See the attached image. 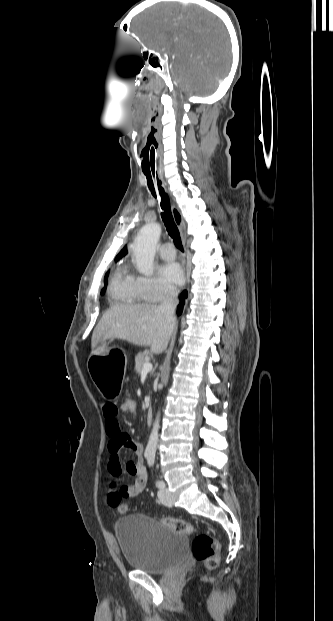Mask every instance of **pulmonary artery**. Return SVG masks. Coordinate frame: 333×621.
<instances>
[{"label": "pulmonary artery", "mask_w": 333, "mask_h": 621, "mask_svg": "<svg viewBox=\"0 0 333 621\" xmlns=\"http://www.w3.org/2000/svg\"><path fill=\"white\" fill-rule=\"evenodd\" d=\"M159 253H160V256L166 260H172L175 258L174 246L169 242L164 243L161 246Z\"/></svg>", "instance_id": "obj_1"}]
</instances>
